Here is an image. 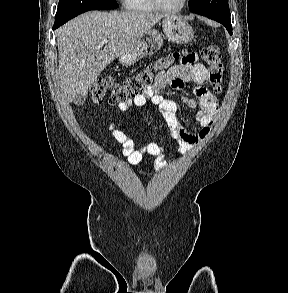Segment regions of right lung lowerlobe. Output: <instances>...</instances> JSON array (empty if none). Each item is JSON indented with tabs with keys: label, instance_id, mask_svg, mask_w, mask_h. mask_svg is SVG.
I'll use <instances>...</instances> for the list:
<instances>
[{
	"label": "right lung lower lobe",
	"instance_id": "98d812e1",
	"mask_svg": "<svg viewBox=\"0 0 288 293\" xmlns=\"http://www.w3.org/2000/svg\"><path fill=\"white\" fill-rule=\"evenodd\" d=\"M58 27H60L59 25H54L53 26V29H56V28H58Z\"/></svg>",
	"mask_w": 288,
	"mask_h": 293
}]
</instances>
